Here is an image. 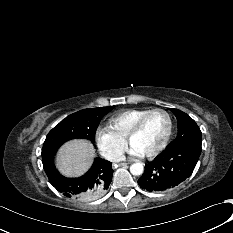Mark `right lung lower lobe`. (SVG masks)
I'll return each instance as SVG.
<instances>
[{
  "instance_id": "right-lung-lower-lobe-1",
  "label": "right lung lower lobe",
  "mask_w": 233,
  "mask_h": 233,
  "mask_svg": "<svg viewBox=\"0 0 233 233\" xmlns=\"http://www.w3.org/2000/svg\"><path fill=\"white\" fill-rule=\"evenodd\" d=\"M42 162L50 183L66 197L94 199L102 195L112 181V163L101 158H96L91 169L78 178L62 176L56 169L53 158Z\"/></svg>"
}]
</instances>
